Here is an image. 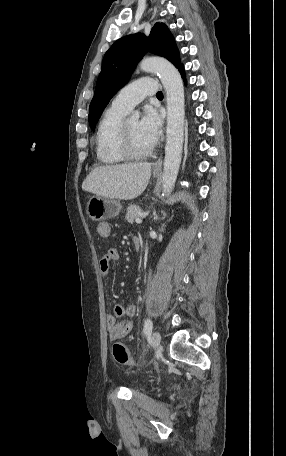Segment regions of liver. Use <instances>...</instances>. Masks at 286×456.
<instances>
[{
    "instance_id": "liver-1",
    "label": "liver",
    "mask_w": 286,
    "mask_h": 456,
    "mask_svg": "<svg viewBox=\"0 0 286 456\" xmlns=\"http://www.w3.org/2000/svg\"><path fill=\"white\" fill-rule=\"evenodd\" d=\"M150 177L151 164L146 162L99 166L86 177L82 189L96 196L131 200L144 192Z\"/></svg>"
}]
</instances>
